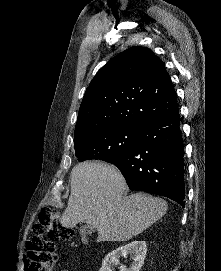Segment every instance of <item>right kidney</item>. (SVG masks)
<instances>
[{
	"label": "right kidney",
	"instance_id": "right-kidney-1",
	"mask_svg": "<svg viewBox=\"0 0 221 271\" xmlns=\"http://www.w3.org/2000/svg\"><path fill=\"white\" fill-rule=\"evenodd\" d=\"M147 251V245L145 241H130V243H126V245H120V247H116L110 253L105 255L104 259H102V265L99 271H112L113 267H116L119 263V257L124 255L127 257L128 253H130V267H126V265H120V271H139L141 269L145 255Z\"/></svg>",
	"mask_w": 221,
	"mask_h": 271
}]
</instances>
